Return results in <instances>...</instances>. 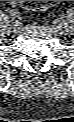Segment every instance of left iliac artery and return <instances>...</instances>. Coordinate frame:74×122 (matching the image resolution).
Segmentation results:
<instances>
[{
	"label": "left iliac artery",
	"instance_id": "1",
	"mask_svg": "<svg viewBox=\"0 0 74 122\" xmlns=\"http://www.w3.org/2000/svg\"><path fill=\"white\" fill-rule=\"evenodd\" d=\"M64 24H65L64 21H61V22L59 23V26L62 27Z\"/></svg>",
	"mask_w": 74,
	"mask_h": 122
}]
</instances>
